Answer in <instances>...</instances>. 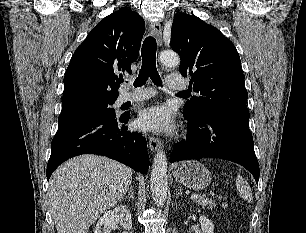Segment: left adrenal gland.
Here are the masks:
<instances>
[{
    "label": "left adrenal gland",
    "instance_id": "left-adrenal-gland-1",
    "mask_svg": "<svg viewBox=\"0 0 306 233\" xmlns=\"http://www.w3.org/2000/svg\"><path fill=\"white\" fill-rule=\"evenodd\" d=\"M181 195H182V188L179 187L178 188V193L176 194V198H179V196H181Z\"/></svg>",
    "mask_w": 306,
    "mask_h": 233
}]
</instances>
